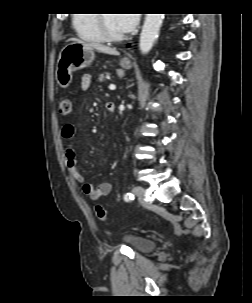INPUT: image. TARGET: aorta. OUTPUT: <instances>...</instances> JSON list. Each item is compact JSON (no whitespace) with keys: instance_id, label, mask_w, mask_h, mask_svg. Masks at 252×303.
<instances>
[{"instance_id":"1","label":"aorta","mask_w":252,"mask_h":303,"mask_svg":"<svg viewBox=\"0 0 252 303\" xmlns=\"http://www.w3.org/2000/svg\"><path fill=\"white\" fill-rule=\"evenodd\" d=\"M164 14H146L140 34L139 48L143 54L148 53L158 38Z\"/></svg>"}]
</instances>
